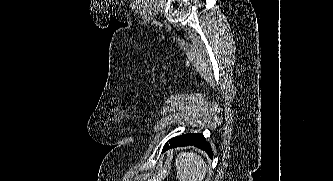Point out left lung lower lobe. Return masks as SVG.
Returning a JSON list of instances; mask_svg holds the SVG:
<instances>
[{
  "label": "left lung lower lobe",
  "instance_id": "1",
  "mask_svg": "<svg viewBox=\"0 0 333 181\" xmlns=\"http://www.w3.org/2000/svg\"><path fill=\"white\" fill-rule=\"evenodd\" d=\"M170 146H168V143L165 144L164 150L168 148H175L179 146H187V145H193L195 147H198L202 150H205L206 153L210 157H212V149L208 142L205 141V137L201 133H189L186 135H182L180 137H176L172 141L169 142Z\"/></svg>",
  "mask_w": 333,
  "mask_h": 181
}]
</instances>
